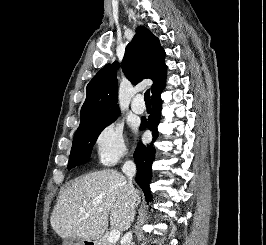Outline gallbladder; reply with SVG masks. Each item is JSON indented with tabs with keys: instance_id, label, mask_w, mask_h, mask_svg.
<instances>
[{
	"instance_id": "1",
	"label": "gallbladder",
	"mask_w": 266,
	"mask_h": 245,
	"mask_svg": "<svg viewBox=\"0 0 266 245\" xmlns=\"http://www.w3.org/2000/svg\"><path fill=\"white\" fill-rule=\"evenodd\" d=\"M65 243H66V245H74V243H76V241H74V239H65Z\"/></svg>"
}]
</instances>
